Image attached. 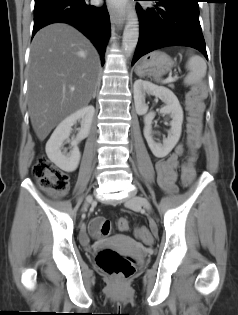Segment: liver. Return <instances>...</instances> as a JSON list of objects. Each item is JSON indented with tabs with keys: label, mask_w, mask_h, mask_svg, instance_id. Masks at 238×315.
I'll return each mask as SVG.
<instances>
[{
	"label": "liver",
	"mask_w": 238,
	"mask_h": 315,
	"mask_svg": "<svg viewBox=\"0 0 238 315\" xmlns=\"http://www.w3.org/2000/svg\"><path fill=\"white\" fill-rule=\"evenodd\" d=\"M99 68L96 49L74 27L55 23L37 32L29 60L28 108L40 141L65 117L88 105Z\"/></svg>",
	"instance_id": "liver-1"
}]
</instances>
